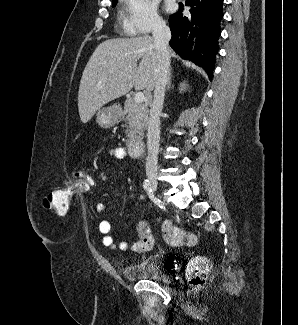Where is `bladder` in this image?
<instances>
[{
	"instance_id": "bladder-1",
	"label": "bladder",
	"mask_w": 298,
	"mask_h": 325,
	"mask_svg": "<svg viewBox=\"0 0 298 325\" xmlns=\"http://www.w3.org/2000/svg\"><path fill=\"white\" fill-rule=\"evenodd\" d=\"M121 273L129 281H168V277L162 270L160 258L156 255L144 257L135 263L124 266Z\"/></svg>"
}]
</instances>
